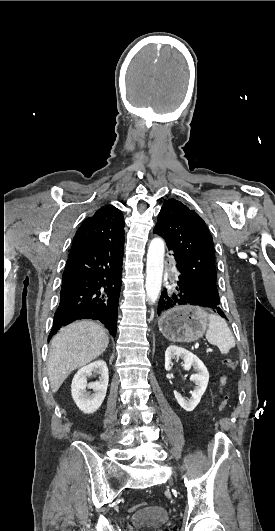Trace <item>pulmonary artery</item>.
<instances>
[{"label": "pulmonary artery", "mask_w": 275, "mask_h": 531, "mask_svg": "<svg viewBox=\"0 0 275 531\" xmlns=\"http://www.w3.org/2000/svg\"><path fill=\"white\" fill-rule=\"evenodd\" d=\"M169 272L171 274H176L178 272V267L176 266V263H173V265L169 267Z\"/></svg>", "instance_id": "obj_1"}]
</instances>
